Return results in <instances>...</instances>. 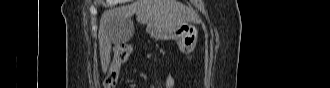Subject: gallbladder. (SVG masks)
<instances>
[{
  "mask_svg": "<svg viewBox=\"0 0 330 88\" xmlns=\"http://www.w3.org/2000/svg\"><path fill=\"white\" fill-rule=\"evenodd\" d=\"M114 31L117 36V40L114 44H122L129 41L134 34V25L132 21H119L114 23Z\"/></svg>",
  "mask_w": 330,
  "mask_h": 88,
  "instance_id": "gallbladder-1",
  "label": "gallbladder"
}]
</instances>
